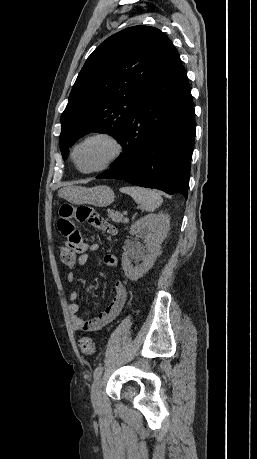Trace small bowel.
Masks as SVG:
<instances>
[{"instance_id": "obj_1", "label": "small bowel", "mask_w": 257, "mask_h": 459, "mask_svg": "<svg viewBox=\"0 0 257 459\" xmlns=\"http://www.w3.org/2000/svg\"><path fill=\"white\" fill-rule=\"evenodd\" d=\"M80 226L100 229L113 236L117 234V230L113 225L100 218L98 208H91V205H74L72 201H69L67 205H61L56 227L59 229L60 235L66 237L68 250L74 251V256L78 257L76 265L82 266L87 263L89 252L97 250L98 245L96 243L87 244L83 242V236L79 232ZM104 264L107 267L114 268L117 266V259L113 255H105ZM76 281V273L70 271L67 274V282L74 284ZM127 296L125 286L120 281H117L115 283V296L111 303L97 317L86 320L81 316L80 305L76 302L79 292L77 289H73L69 295L71 302L68 305L72 327L77 331L88 332L102 329L119 316L125 306Z\"/></svg>"}]
</instances>
